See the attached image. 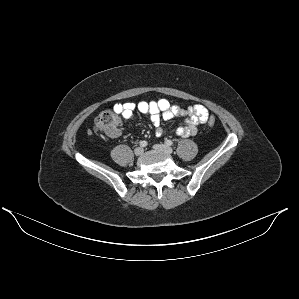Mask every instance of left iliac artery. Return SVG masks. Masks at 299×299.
Listing matches in <instances>:
<instances>
[{
	"label": "left iliac artery",
	"mask_w": 299,
	"mask_h": 299,
	"mask_svg": "<svg viewBox=\"0 0 299 299\" xmlns=\"http://www.w3.org/2000/svg\"><path fill=\"white\" fill-rule=\"evenodd\" d=\"M165 144L168 145V146H171V145H173V141H171V140H166V141H165Z\"/></svg>",
	"instance_id": "1"
}]
</instances>
